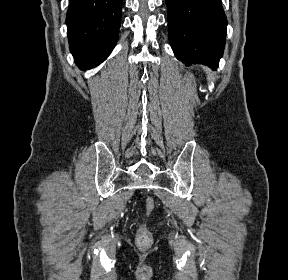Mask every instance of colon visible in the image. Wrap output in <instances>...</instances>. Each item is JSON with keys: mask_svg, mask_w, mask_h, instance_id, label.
I'll return each mask as SVG.
<instances>
[{"mask_svg": "<svg viewBox=\"0 0 288 280\" xmlns=\"http://www.w3.org/2000/svg\"><path fill=\"white\" fill-rule=\"evenodd\" d=\"M155 208V201L152 197L145 200V212L149 215ZM152 242V235L148 228L142 224L137 230V243L140 247H147Z\"/></svg>", "mask_w": 288, "mask_h": 280, "instance_id": "5ec220e1", "label": "colon"}]
</instances>
